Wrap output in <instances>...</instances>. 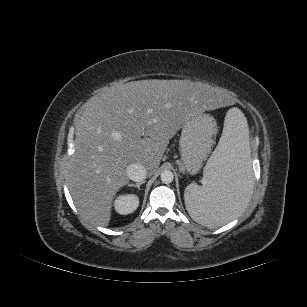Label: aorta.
<instances>
[{"mask_svg": "<svg viewBox=\"0 0 307 307\" xmlns=\"http://www.w3.org/2000/svg\"><path fill=\"white\" fill-rule=\"evenodd\" d=\"M160 178H161V181H162L163 183L169 184V183H171V182L173 181L174 175H173L172 171H170V170H165V171H163V172L161 173Z\"/></svg>", "mask_w": 307, "mask_h": 307, "instance_id": "aorta-1", "label": "aorta"}]
</instances>
